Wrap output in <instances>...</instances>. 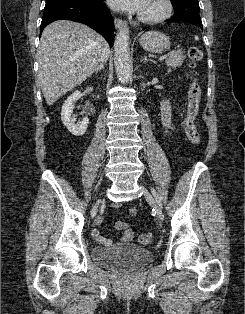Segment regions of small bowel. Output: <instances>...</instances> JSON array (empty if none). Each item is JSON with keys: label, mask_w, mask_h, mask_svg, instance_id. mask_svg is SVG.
I'll return each instance as SVG.
<instances>
[{"label": "small bowel", "mask_w": 245, "mask_h": 314, "mask_svg": "<svg viewBox=\"0 0 245 314\" xmlns=\"http://www.w3.org/2000/svg\"><path fill=\"white\" fill-rule=\"evenodd\" d=\"M161 121L163 125V131L166 135H170L175 130V124L172 120V105L170 99L166 98L161 104ZM132 215L136 214V209L131 208L130 210ZM116 228L123 230L120 241L123 244H128L134 240L135 234L134 231L127 228L125 222H118ZM94 237L103 245L108 246L111 244V240L104 238L99 231H93Z\"/></svg>", "instance_id": "small-bowel-1"}]
</instances>
